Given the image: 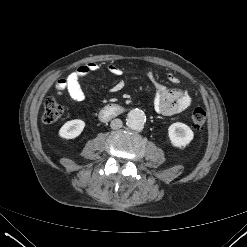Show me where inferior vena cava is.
Listing matches in <instances>:
<instances>
[{"label":"inferior vena cava","instance_id":"obj_1","mask_svg":"<svg viewBox=\"0 0 247 247\" xmlns=\"http://www.w3.org/2000/svg\"><path fill=\"white\" fill-rule=\"evenodd\" d=\"M122 125H123V123H122L121 119H119V118L113 119L110 123V127L112 129H119L122 127Z\"/></svg>","mask_w":247,"mask_h":247}]
</instances>
